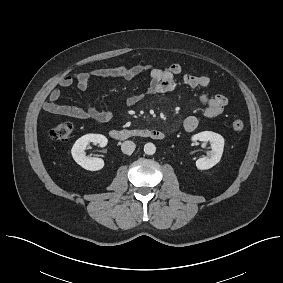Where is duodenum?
<instances>
[{
	"label": "duodenum",
	"instance_id": "1",
	"mask_svg": "<svg viewBox=\"0 0 283 283\" xmlns=\"http://www.w3.org/2000/svg\"><path fill=\"white\" fill-rule=\"evenodd\" d=\"M166 134L161 130L149 129H113L110 137L114 140H127L131 138H151L154 140H163Z\"/></svg>",
	"mask_w": 283,
	"mask_h": 283
}]
</instances>
